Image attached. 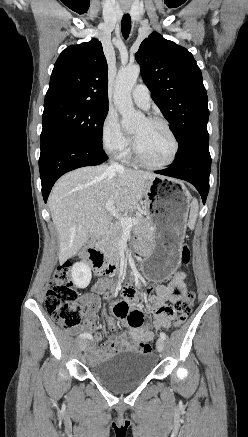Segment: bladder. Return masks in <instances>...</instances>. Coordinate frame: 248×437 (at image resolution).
Returning <instances> with one entry per match:
<instances>
[{
	"mask_svg": "<svg viewBox=\"0 0 248 437\" xmlns=\"http://www.w3.org/2000/svg\"><path fill=\"white\" fill-rule=\"evenodd\" d=\"M155 366L149 353L125 351L90 368V372L104 386L114 392H126L146 379Z\"/></svg>",
	"mask_w": 248,
	"mask_h": 437,
	"instance_id": "bladder-1",
	"label": "bladder"
}]
</instances>
